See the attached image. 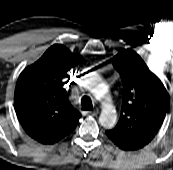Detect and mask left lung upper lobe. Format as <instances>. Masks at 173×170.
Masks as SVG:
<instances>
[{
	"label": "left lung upper lobe",
	"mask_w": 173,
	"mask_h": 170,
	"mask_svg": "<svg viewBox=\"0 0 173 170\" xmlns=\"http://www.w3.org/2000/svg\"><path fill=\"white\" fill-rule=\"evenodd\" d=\"M112 62L120 73L124 92L120 119L106 135L125 151L138 150L160 129L167 112L168 93L135 51L126 49Z\"/></svg>",
	"instance_id": "1"
}]
</instances>
